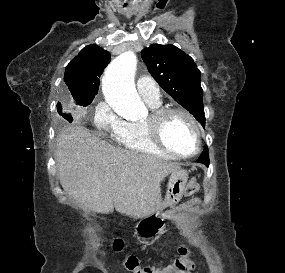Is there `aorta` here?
Listing matches in <instances>:
<instances>
[{
	"mask_svg": "<svg viewBox=\"0 0 285 273\" xmlns=\"http://www.w3.org/2000/svg\"><path fill=\"white\" fill-rule=\"evenodd\" d=\"M136 66L135 53L127 51L110 63L102 79V91L107 103L116 113L128 119H140L147 115V108L135 89Z\"/></svg>",
	"mask_w": 285,
	"mask_h": 273,
	"instance_id": "aorta-1",
	"label": "aorta"
}]
</instances>
